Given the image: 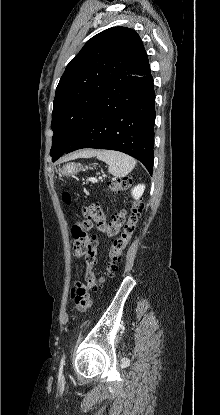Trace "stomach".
Here are the masks:
<instances>
[{
	"label": "stomach",
	"instance_id": "stomach-1",
	"mask_svg": "<svg viewBox=\"0 0 220 415\" xmlns=\"http://www.w3.org/2000/svg\"><path fill=\"white\" fill-rule=\"evenodd\" d=\"M79 171V165L75 163H69L63 167L62 173L65 175L75 174Z\"/></svg>",
	"mask_w": 220,
	"mask_h": 415
}]
</instances>
